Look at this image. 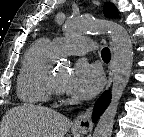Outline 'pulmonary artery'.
I'll use <instances>...</instances> for the list:
<instances>
[{"label": "pulmonary artery", "instance_id": "e3ab8cb5", "mask_svg": "<svg viewBox=\"0 0 144 137\" xmlns=\"http://www.w3.org/2000/svg\"><path fill=\"white\" fill-rule=\"evenodd\" d=\"M53 45L58 54L66 55H84L96 47L95 42L87 37H57Z\"/></svg>", "mask_w": 144, "mask_h": 137}]
</instances>
